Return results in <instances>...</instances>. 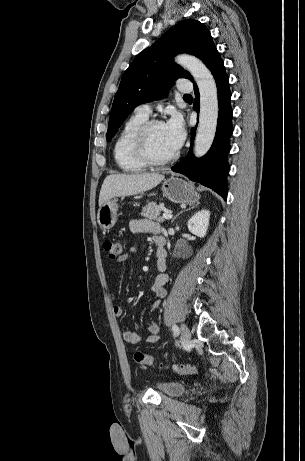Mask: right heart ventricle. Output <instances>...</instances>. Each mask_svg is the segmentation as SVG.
Wrapping results in <instances>:
<instances>
[{
    "instance_id": "1",
    "label": "right heart ventricle",
    "mask_w": 305,
    "mask_h": 461,
    "mask_svg": "<svg viewBox=\"0 0 305 461\" xmlns=\"http://www.w3.org/2000/svg\"><path fill=\"white\" fill-rule=\"evenodd\" d=\"M147 120L148 116L136 112L126 120L115 141L114 158L118 167L125 172H139L146 168V165L135 157L132 142L137 130Z\"/></svg>"
}]
</instances>
